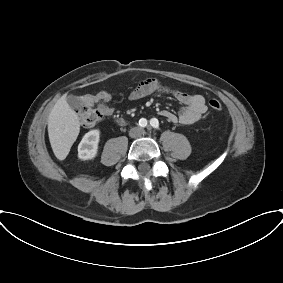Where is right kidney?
I'll return each instance as SVG.
<instances>
[{
  "label": "right kidney",
  "mask_w": 283,
  "mask_h": 283,
  "mask_svg": "<svg viewBox=\"0 0 283 283\" xmlns=\"http://www.w3.org/2000/svg\"><path fill=\"white\" fill-rule=\"evenodd\" d=\"M100 131L95 129L86 133L78 145V157L82 160H91L96 157Z\"/></svg>",
  "instance_id": "1"
}]
</instances>
